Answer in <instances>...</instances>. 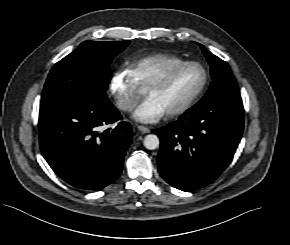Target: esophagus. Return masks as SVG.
<instances>
[{"instance_id":"1","label":"esophagus","mask_w":290,"mask_h":245,"mask_svg":"<svg viewBox=\"0 0 290 245\" xmlns=\"http://www.w3.org/2000/svg\"><path fill=\"white\" fill-rule=\"evenodd\" d=\"M137 128L142 132V133H149L150 129L146 126L143 125H138Z\"/></svg>"}]
</instances>
